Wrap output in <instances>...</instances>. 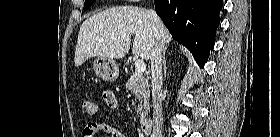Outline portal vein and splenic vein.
Here are the masks:
<instances>
[{
  "label": "portal vein and splenic vein",
  "mask_w": 280,
  "mask_h": 137,
  "mask_svg": "<svg viewBox=\"0 0 280 137\" xmlns=\"http://www.w3.org/2000/svg\"><path fill=\"white\" fill-rule=\"evenodd\" d=\"M135 68L137 73L142 74L146 70V64L143 60L138 59L135 61Z\"/></svg>",
  "instance_id": "portal-vein-and-splenic-vein-1"
}]
</instances>
